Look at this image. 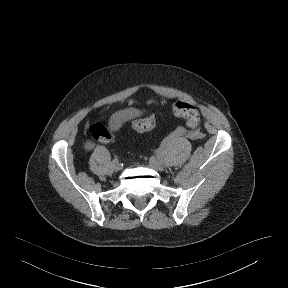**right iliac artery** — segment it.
<instances>
[{"label":"right iliac artery","instance_id":"1","mask_svg":"<svg viewBox=\"0 0 288 288\" xmlns=\"http://www.w3.org/2000/svg\"><path fill=\"white\" fill-rule=\"evenodd\" d=\"M113 161H118L117 157H115V158L113 159Z\"/></svg>","mask_w":288,"mask_h":288}]
</instances>
